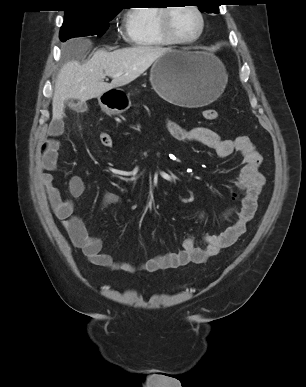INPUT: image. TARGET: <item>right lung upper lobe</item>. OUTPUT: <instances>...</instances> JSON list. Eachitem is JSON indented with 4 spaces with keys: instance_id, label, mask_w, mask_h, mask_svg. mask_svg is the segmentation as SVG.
<instances>
[{
    "instance_id": "1",
    "label": "right lung upper lobe",
    "mask_w": 306,
    "mask_h": 387,
    "mask_svg": "<svg viewBox=\"0 0 306 387\" xmlns=\"http://www.w3.org/2000/svg\"><path fill=\"white\" fill-rule=\"evenodd\" d=\"M65 15H93L108 11H120L118 0H68Z\"/></svg>"
}]
</instances>
